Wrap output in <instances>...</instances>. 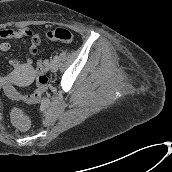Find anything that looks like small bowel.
Masks as SVG:
<instances>
[{"label":"small bowel","mask_w":172,"mask_h":172,"mask_svg":"<svg viewBox=\"0 0 172 172\" xmlns=\"http://www.w3.org/2000/svg\"><path fill=\"white\" fill-rule=\"evenodd\" d=\"M30 37V45L26 51V66H30L32 60L30 57L37 54V47L43 42L44 38L41 34H33L30 28H2L0 29V51H8L11 48L9 40L25 41L26 38ZM9 65L16 68L19 66V60L16 58H10L8 61ZM2 81V78H0Z\"/></svg>","instance_id":"small-bowel-1"}]
</instances>
